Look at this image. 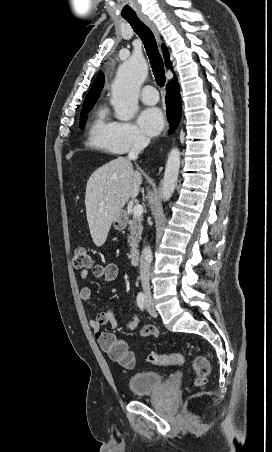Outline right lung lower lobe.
Segmentation results:
<instances>
[{"instance_id": "98d812e1", "label": "right lung lower lobe", "mask_w": 272, "mask_h": 452, "mask_svg": "<svg viewBox=\"0 0 272 452\" xmlns=\"http://www.w3.org/2000/svg\"><path fill=\"white\" fill-rule=\"evenodd\" d=\"M167 117L170 123V132L177 126L181 117V97L177 80H172L166 85Z\"/></svg>"}]
</instances>
